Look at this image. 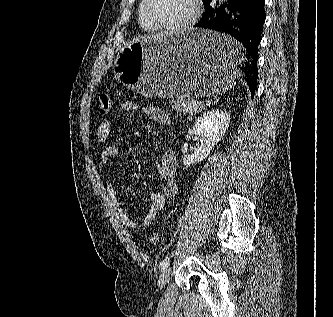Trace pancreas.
Returning a JSON list of instances; mask_svg holds the SVG:
<instances>
[{
  "mask_svg": "<svg viewBox=\"0 0 333 317\" xmlns=\"http://www.w3.org/2000/svg\"><path fill=\"white\" fill-rule=\"evenodd\" d=\"M172 108L180 114H193L203 108V104H192V101L185 99H171Z\"/></svg>",
  "mask_w": 333,
  "mask_h": 317,
  "instance_id": "1",
  "label": "pancreas"
}]
</instances>
